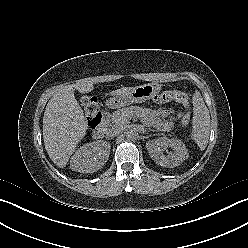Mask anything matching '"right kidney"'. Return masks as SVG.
<instances>
[{
	"label": "right kidney",
	"instance_id": "ca27d5eb",
	"mask_svg": "<svg viewBox=\"0 0 248 248\" xmlns=\"http://www.w3.org/2000/svg\"><path fill=\"white\" fill-rule=\"evenodd\" d=\"M110 148V143L102 140L87 143L71 157L70 168L81 173L96 172L107 162Z\"/></svg>",
	"mask_w": 248,
	"mask_h": 248
}]
</instances>
